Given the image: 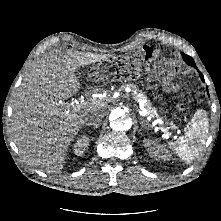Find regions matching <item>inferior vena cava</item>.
Here are the masks:
<instances>
[{
    "mask_svg": "<svg viewBox=\"0 0 221 221\" xmlns=\"http://www.w3.org/2000/svg\"><path fill=\"white\" fill-rule=\"evenodd\" d=\"M102 118H103V115L95 111L90 115L88 124L93 125V126H98L99 124H101Z\"/></svg>",
    "mask_w": 221,
    "mask_h": 221,
    "instance_id": "obj_1",
    "label": "inferior vena cava"
}]
</instances>
